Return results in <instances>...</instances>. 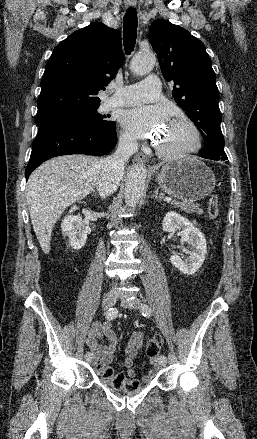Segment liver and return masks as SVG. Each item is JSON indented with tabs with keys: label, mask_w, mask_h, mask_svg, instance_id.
Returning a JSON list of instances; mask_svg holds the SVG:
<instances>
[{
	"label": "liver",
	"mask_w": 257,
	"mask_h": 439,
	"mask_svg": "<svg viewBox=\"0 0 257 439\" xmlns=\"http://www.w3.org/2000/svg\"><path fill=\"white\" fill-rule=\"evenodd\" d=\"M102 159L86 155L55 157L29 177L27 205L34 232L45 254L53 227L64 210L94 190Z\"/></svg>",
	"instance_id": "obj_1"
}]
</instances>
